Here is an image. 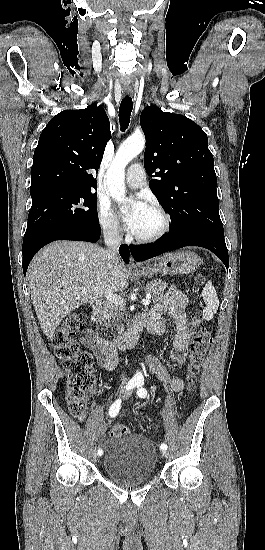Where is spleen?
<instances>
[{
	"label": "spleen",
	"instance_id": "1",
	"mask_svg": "<svg viewBox=\"0 0 265 550\" xmlns=\"http://www.w3.org/2000/svg\"><path fill=\"white\" fill-rule=\"evenodd\" d=\"M202 296L206 304V308L203 309L202 315L205 320L209 321L213 318L219 306L218 296L211 281H208L203 288Z\"/></svg>",
	"mask_w": 265,
	"mask_h": 550
}]
</instances>
